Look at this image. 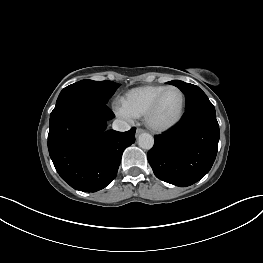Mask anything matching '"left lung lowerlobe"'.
I'll return each mask as SVG.
<instances>
[{
	"label": "left lung lower lobe",
	"instance_id": "left-lung-lower-lobe-1",
	"mask_svg": "<svg viewBox=\"0 0 263 263\" xmlns=\"http://www.w3.org/2000/svg\"><path fill=\"white\" fill-rule=\"evenodd\" d=\"M219 125L210 101L185 109L180 122L168 132L154 136L147 154L155 176L186 187L204 177L216 158Z\"/></svg>",
	"mask_w": 263,
	"mask_h": 263
}]
</instances>
